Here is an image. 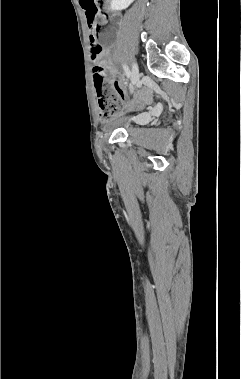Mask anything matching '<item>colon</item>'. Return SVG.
Segmentation results:
<instances>
[{"label": "colon", "mask_w": 241, "mask_h": 379, "mask_svg": "<svg viewBox=\"0 0 241 379\" xmlns=\"http://www.w3.org/2000/svg\"><path fill=\"white\" fill-rule=\"evenodd\" d=\"M104 1L105 0H79L90 27L89 38L92 59L94 61L99 59L102 51L97 40V27L94 25V22L104 8ZM90 76L93 77L97 93V104L101 120L108 121L122 110V99L105 84V67L103 65L96 64L94 69L90 71Z\"/></svg>", "instance_id": "5ec220e1"}]
</instances>
